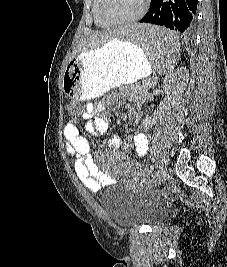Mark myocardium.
Listing matches in <instances>:
<instances>
[{"mask_svg":"<svg viewBox=\"0 0 227 267\" xmlns=\"http://www.w3.org/2000/svg\"><path fill=\"white\" fill-rule=\"evenodd\" d=\"M149 2L150 0H143L140 11L134 16L127 18V19L115 20L111 18L106 12V0H100V13L103 19L112 25L129 24V23H133V22L140 20L145 15V13L147 12L149 8Z\"/></svg>","mask_w":227,"mask_h":267,"instance_id":"f54148a6","label":"myocardium"}]
</instances>
